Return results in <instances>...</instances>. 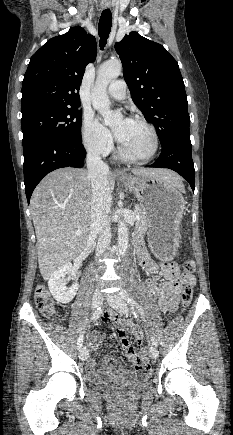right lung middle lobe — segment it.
<instances>
[{"instance_id": "obj_1", "label": "right lung middle lobe", "mask_w": 233, "mask_h": 435, "mask_svg": "<svg viewBox=\"0 0 233 435\" xmlns=\"http://www.w3.org/2000/svg\"><path fill=\"white\" fill-rule=\"evenodd\" d=\"M23 145L43 138L81 142L82 113L77 107H50L22 116Z\"/></svg>"}]
</instances>
